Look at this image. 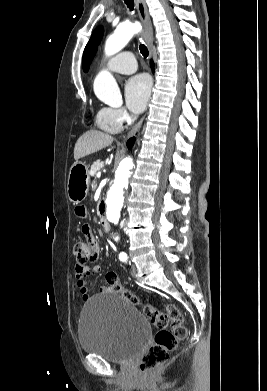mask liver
Here are the masks:
<instances>
[{
  "label": "liver",
  "mask_w": 267,
  "mask_h": 391,
  "mask_svg": "<svg viewBox=\"0 0 267 391\" xmlns=\"http://www.w3.org/2000/svg\"><path fill=\"white\" fill-rule=\"evenodd\" d=\"M114 138L107 133L98 130L85 132L76 142L74 147V159H79L98 152L113 142Z\"/></svg>",
  "instance_id": "1"
}]
</instances>
